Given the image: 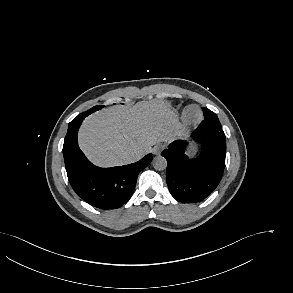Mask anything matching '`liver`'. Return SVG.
<instances>
[{"instance_id": "liver-1", "label": "liver", "mask_w": 293, "mask_h": 293, "mask_svg": "<svg viewBox=\"0 0 293 293\" xmlns=\"http://www.w3.org/2000/svg\"><path fill=\"white\" fill-rule=\"evenodd\" d=\"M180 128L177 114L164 102L141 101L132 107L115 105L84 120L79 146L94 164L110 167L149 153L151 146L173 140Z\"/></svg>"}]
</instances>
